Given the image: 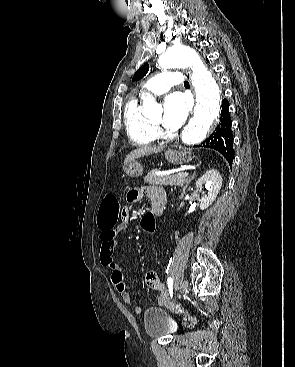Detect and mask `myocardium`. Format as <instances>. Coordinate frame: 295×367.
Returning a JSON list of instances; mask_svg holds the SVG:
<instances>
[{
	"label": "myocardium",
	"mask_w": 295,
	"mask_h": 367,
	"mask_svg": "<svg viewBox=\"0 0 295 367\" xmlns=\"http://www.w3.org/2000/svg\"><path fill=\"white\" fill-rule=\"evenodd\" d=\"M150 122V125L152 126V128L155 130V131H159L160 130V126H159V124H155V123H153V122H151V121H149Z\"/></svg>",
	"instance_id": "f54148a6"
}]
</instances>
